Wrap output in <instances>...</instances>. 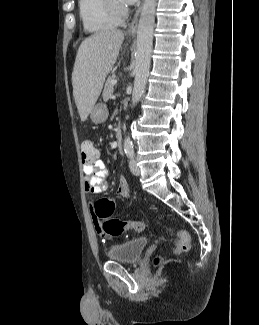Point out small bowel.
I'll return each mask as SVG.
<instances>
[{"label": "small bowel", "instance_id": "obj_1", "mask_svg": "<svg viewBox=\"0 0 259 325\" xmlns=\"http://www.w3.org/2000/svg\"><path fill=\"white\" fill-rule=\"evenodd\" d=\"M83 173L85 177V191L88 194L99 195L107 190L108 188L107 177L109 172L105 163L99 157V153L97 154V157L92 162L83 163ZM116 193L119 197L122 198L129 197L130 189H129V184L125 177H121L119 179ZM91 214L97 232L100 233L102 236H105L106 234L102 231L100 223L96 218L92 208H91ZM108 237H112V236H108Z\"/></svg>", "mask_w": 259, "mask_h": 325}]
</instances>
